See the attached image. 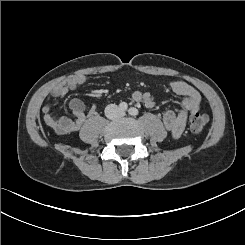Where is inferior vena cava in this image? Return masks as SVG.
<instances>
[{"label":"inferior vena cava","mask_w":245,"mask_h":245,"mask_svg":"<svg viewBox=\"0 0 245 245\" xmlns=\"http://www.w3.org/2000/svg\"><path fill=\"white\" fill-rule=\"evenodd\" d=\"M105 115L108 119H117L120 115L118 106L115 104H109L105 108Z\"/></svg>","instance_id":"1"}]
</instances>
